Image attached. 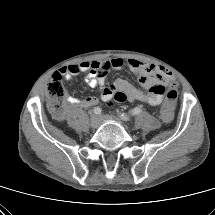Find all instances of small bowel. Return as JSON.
<instances>
[{"instance_id": "small-bowel-1", "label": "small bowel", "mask_w": 215, "mask_h": 215, "mask_svg": "<svg viewBox=\"0 0 215 215\" xmlns=\"http://www.w3.org/2000/svg\"><path fill=\"white\" fill-rule=\"evenodd\" d=\"M124 65H127L130 70L138 75V81L143 88L142 90L122 79L106 85L108 71L119 69ZM57 73L63 75L68 80L80 73H85L87 84L92 88L99 87L101 99L105 102L112 100L117 102L131 101L157 106L162 103L163 94L155 92L153 88L155 86H160L164 89L166 86L176 87L174 76L164 67L137 59L124 61L122 58H113L107 61H83L65 66ZM67 103V109L71 107L87 108L96 105L98 99L96 97L79 99L69 96Z\"/></svg>"}]
</instances>
